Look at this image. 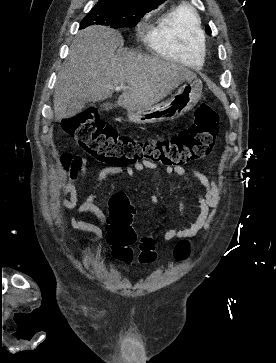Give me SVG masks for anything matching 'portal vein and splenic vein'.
<instances>
[{
	"mask_svg": "<svg viewBox=\"0 0 276 363\" xmlns=\"http://www.w3.org/2000/svg\"><path fill=\"white\" fill-rule=\"evenodd\" d=\"M124 88H125V86H123V85L119 87V89H124Z\"/></svg>",
	"mask_w": 276,
	"mask_h": 363,
	"instance_id": "portal-vein-and-splenic-vein-1",
	"label": "portal vein and splenic vein"
}]
</instances>
